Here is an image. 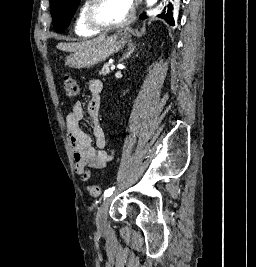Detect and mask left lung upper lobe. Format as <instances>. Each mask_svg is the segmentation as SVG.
I'll return each instance as SVG.
<instances>
[{
    "label": "left lung upper lobe",
    "instance_id": "5c2ea615",
    "mask_svg": "<svg viewBox=\"0 0 256 267\" xmlns=\"http://www.w3.org/2000/svg\"><path fill=\"white\" fill-rule=\"evenodd\" d=\"M50 1V12L52 15L53 26L56 31L61 32L70 23L74 16V13L79 5L80 0H49ZM172 5H168V11L158 15L163 18L167 23L171 24L173 19ZM146 16L143 14L140 19H145Z\"/></svg>",
    "mask_w": 256,
    "mask_h": 267
}]
</instances>
